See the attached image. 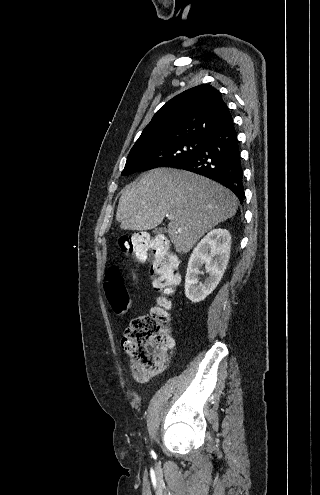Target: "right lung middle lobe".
I'll return each instance as SVG.
<instances>
[{
  "mask_svg": "<svg viewBox=\"0 0 320 495\" xmlns=\"http://www.w3.org/2000/svg\"><path fill=\"white\" fill-rule=\"evenodd\" d=\"M204 138H185L149 146L133 147L128 155L122 175L156 167H172L198 152Z\"/></svg>",
  "mask_w": 320,
  "mask_h": 495,
  "instance_id": "obj_1",
  "label": "right lung middle lobe"
}]
</instances>
